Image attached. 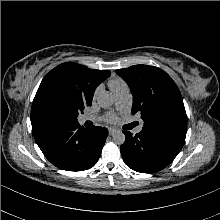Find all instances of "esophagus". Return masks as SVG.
<instances>
[{"mask_svg": "<svg viewBox=\"0 0 220 220\" xmlns=\"http://www.w3.org/2000/svg\"><path fill=\"white\" fill-rule=\"evenodd\" d=\"M117 130L115 128H109V134L113 135Z\"/></svg>", "mask_w": 220, "mask_h": 220, "instance_id": "1", "label": "esophagus"}]
</instances>
